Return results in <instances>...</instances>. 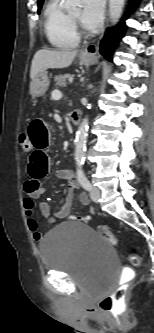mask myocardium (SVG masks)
<instances>
[{
  "mask_svg": "<svg viewBox=\"0 0 154 333\" xmlns=\"http://www.w3.org/2000/svg\"><path fill=\"white\" fill-rule=\"evenodd\" d=\"M70 22L72 23L77 35H87V32L81 27L78 20L74 19L70 14H68Z\"/></svg>",
  "mask_w": 154,
  "mask_h": 333,
  "instance_id": "myocardium-1",
  "label": "myocardium"
}]
</instances>
